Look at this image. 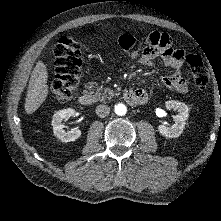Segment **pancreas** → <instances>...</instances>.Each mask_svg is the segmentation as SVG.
I'll return each instance as SVG.
<instances>
[{
	"instance_id": "1",
	"label": "pancreas",
	"mask_w": 221,
	"mask_h": 221,
	"mask_svg": "<svg viewBox=\"0 0 221 221\" xmlns=\"http://www.w3.org/2000/svg\"><path fill=\"white\" fill-rule=\"evenodd\" d=\"M93 83H88L87 88L91 91L92 94H94V98L98 101H104L106 98L110 100L111 97L115 96V92L111 90L110 88H103V86H100L94 90H92Z\"/></svg>"
}]
</instances>
